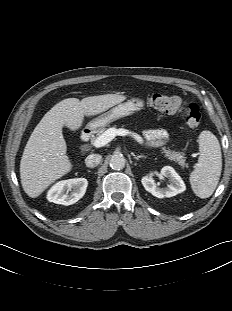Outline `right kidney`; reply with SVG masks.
<instances>
[{"label": "right kidney", "mask_w": 232, "mask_h": 311, "mask_svg": "<svg viewBox=\"0 0 232 311\" xmlns=\"http://www.w3.org/2000/svg\"><path fill=\"white\" fill-rule=\"evenodd\" d=\"M87 186L88 181L85 178L59 181L50 188L47 199L50 202L68 206L84 196Z\"/></svg>", "instance_id": "obj_1"}]
</instances>
